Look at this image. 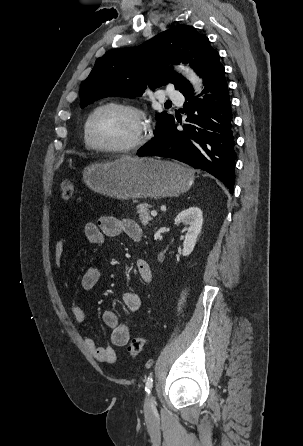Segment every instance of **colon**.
<instances>
[{
  "label": "colon",
  "mask_w": 303,
  "mask_h": 446,
  "mask_svg": "<svg viewBox=\"0 0 303 446\" xmlns=\"http://www.w3.org/2000/svg\"><path fill=\"white\" fill-rule=\"evenodd\" d=\"M60 192H61V197L64 200L71 199V197L73 196L74 187L69 179L64 178L62 180L60 184ZM145 343H146V338L143 335L134 337L127 345V354L131 358L137 357L143 350Z\"/></svg>",
  "instance_id": "1"
}]
</instances>
